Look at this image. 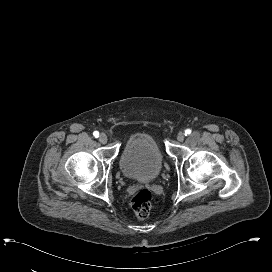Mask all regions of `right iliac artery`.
<instances>
[{
  "instance_id": "82829eb1",
  "label": "right iliac artery",
  "mask_w": 272,
  "mask_h": 272,
  "mask_svg": "<svg viewBox=\"0 0 272 272\" xmlns=\"http://www.w3.org/2000/svg\"><path fill=\"white\" fill-rule=\"evenodd\" d=\"M93 135L97 138L99 136V132L98 131H94Z\"/></svg>"
}]
</instances>
